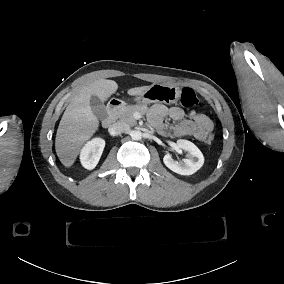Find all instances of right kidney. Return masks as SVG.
<instances>
[{
  "instance_id": "1",
  "label": "right kidney",
  "mask_w": 284,
  "mask_h": 284,
  "mask_svg": "<svg viewBox=\"0 0 284 284\" xmlns=\"http://www.w3.org/2000/svg\"><path fill=\"white\" fill-rule=\"evenodd\" d=\"M105 147L102 138H94L87 142L80 152V161L84 168L92 170L96 167Z\"/></svg>"
}]
</instances>
